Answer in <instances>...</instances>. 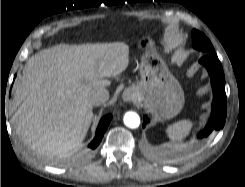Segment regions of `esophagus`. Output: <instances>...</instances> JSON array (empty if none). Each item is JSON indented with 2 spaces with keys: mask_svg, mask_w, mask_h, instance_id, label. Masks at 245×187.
Listing matches in <instances>:
<instances>
[{
  "mask_svg": "<svg viewBox=\"0 0 245 187\" xmlns=\"http://www.w3.org/2000/svg\"><path fill=\"white\" fill-rule=\"evenodd\" d=\"M122 98L124 100V102H131L134 100V93L132 90H125L122 94Z\"/></svg>",
  "mask_w": 245,
  "mask_h": 187,
  "instance_id": "esophagus-1",
  "label": "esophagus"
}]
</instances>
